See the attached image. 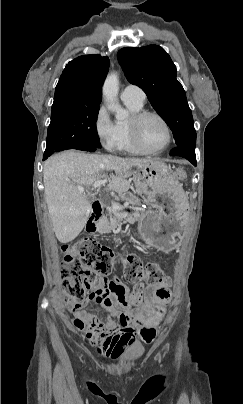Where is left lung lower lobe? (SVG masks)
Here are the masks:
<instances>
[{"instance_id":"0a47b994","label":"left lung lower lobe","mask_w":243,"mask_h":404,"mask_svg":"<svg viewBox=\"0 0 243 404\" xmlns=\"http://www.w3.org/2000/svg\"><path fill=\"white\" fill-rule=\"evenodd\" d=\"M171 156H181L196 166L195 147L176 146L170 153Z\"/></svg>"}]
</instances>
